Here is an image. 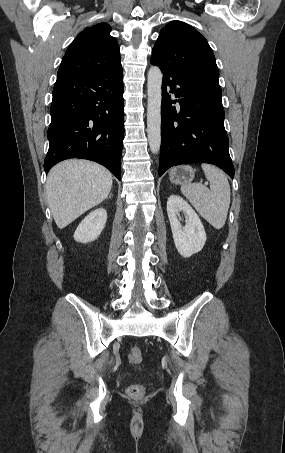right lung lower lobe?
Segmentation results:
<instances>
[{
  "label": "right lung lower lobe",
  "instance_id": "1",
  "mask_svg": "<svg viewBox=\"0 0 285 453\" xmlns=\"http://www.w3.org/2000/svg\"><path fill=\"white\" fill-rule=\"evenodd\" d=\"M44 169L82 158L100 163L119 180L124 137L122 70L97 75H57L50 108Z\"/></svg>",
  "mask_w": 285,
  "mask_h": 453
}]
</instances>
